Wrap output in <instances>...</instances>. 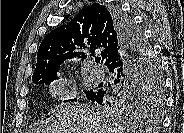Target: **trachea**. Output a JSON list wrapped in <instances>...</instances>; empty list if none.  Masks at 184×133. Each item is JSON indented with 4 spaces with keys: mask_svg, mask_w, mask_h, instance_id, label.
Returning a JSON list of instances; mask_svg holds the SVG:
<instances>
[{
    "mask_svg": "<svg viewBox=\"0 0 184 133\" xmlns=\"http://www.w3.org/2000/svg\"><path fill=\"white\" fill-rule=\"evenodd\" d=\"M100 60H101V58H99V57H96V58H95V62H96V63H99Z\"/></svg>",
    "mask_w": 184,
    "mask_h": 133,
    "instance_id": "trachea-1",
    "label": "trachea"
}]
</instances>
